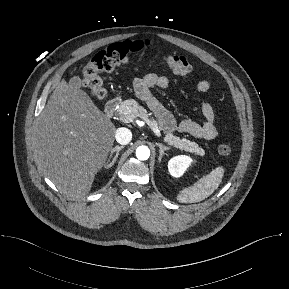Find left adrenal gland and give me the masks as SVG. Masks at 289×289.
Wrapping results in <instances>:
<instances>
[{
  "instance_id": "left-adrenal-gland-1",
  "label": "left adrenal gland",
  "mask_w": 289,
  "mask_h": 289,
  "mask_svg": "<svg viewBox=\"0 0 289 289\" xmlns=\"http://www.w3.org/2000/svg\"><path fill=\"white\" fill-rule=\"evenodd\" d=\"M156 145L159 147L158 161L161 162V159L164 156L165 151H168L170 148L168 146L161 144V143H157Z\"/></svg>"
}]
</instances>
